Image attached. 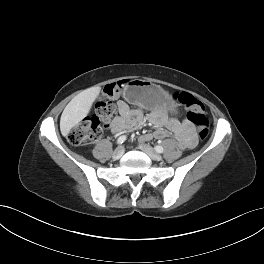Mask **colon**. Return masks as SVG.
<instances>
[{
    "label": "colon",
    "instance_id": "obj_1",
    "mask_svg": "<svg viewBox=\"0 0 264 264\" xmlns=\"http://www.w3.org/2000/svg\"><path fill=\"white\" fill-rule=\"evenodd\" d=\"M120 89V83L111 84L105 88L104 96L96 104L95 113L80 121L69 133L68 140L72 145H85L100 134L102 128L109 123L115 113L111 98ZM176 99L186 109L187 118L195 126L198 137L204 139L209 127L204 105L187 92L178 93Z\"/></svg>",
    "mask_w": 264,
    "mask_h": 264
}]
</instances>
